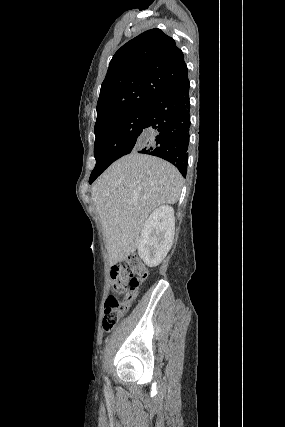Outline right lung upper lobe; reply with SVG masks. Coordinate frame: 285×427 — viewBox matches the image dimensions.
Segmentation results:
<instances>
[{
  "mask_svg": "<svg viewBox=\"0 0 285 427\" xmlns=\"http://www.w3.org/2000/svg\"><path fill=\"white\" fill-rule=\"evenodd\" d=\"M183 52L160 29L123 45L109 63L97 103L95 127L121 113L147 106L187 79Z\"/></svg>",
  "mask_w": 285,
  "mask_h": 427,
  "instance_id": "right-lung-upper-lobe-1",
  "label": "right lung upper lobe"
}]
</instances>
